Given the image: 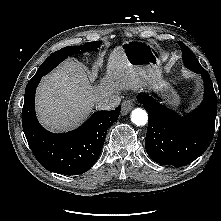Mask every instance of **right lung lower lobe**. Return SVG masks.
I'll return each mask as SVG.
<instances>
[{
  "label": "right lung lower lobe",
  "instance_id": "1",
  "mask_svg": "<svg viewBox=\"0 0 221 221\" xmlns=\"http://www.w3.org/2000/svg\"><path fill=\"white\" fill-rule=\"evenodd\" d=\"M41 77H33L25 89L22 125L28 144L36 159L47 170L64 175L82 174L98 159L107 129L117 121L121 107L112 111H98L71 132H48L35 115V90Z\"/></svg>",
  "mask_w": 221,
  "mask_h": 221
}]
</instances>
